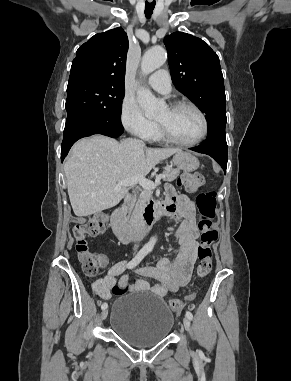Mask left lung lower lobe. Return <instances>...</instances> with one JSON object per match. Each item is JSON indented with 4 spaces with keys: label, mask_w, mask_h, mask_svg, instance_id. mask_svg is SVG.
Returning <instances> with one entry per match:
<instances>
[{
    "label": "left lung lower lobe",
    "mask_w": 291,
    "mask_h": 381,
    "mask_svg": "<svg viewBox=\"0 0 291 381\" xmlns=\"http://www.w3.org/2000/svg\"><path fill=\"white\" fill-rule=\"evenodd\" d=\"M191 150L210 155L226 172L228 150L226 137L206 139L201 145L191 148Z\"/></svg>",
    "instance_id": "left-lung-lower-lobe-1"
}]
</instances>
